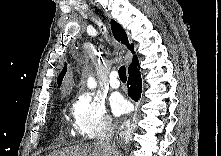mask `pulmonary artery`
I'll return each mask as SVG.
<instances>
[{
  "label": "pulmonary artery",
  "instance_id": "e3ab8cb5",
  "mask_svg": "<svg viewBox=\"0 0 221 156\" xmlns=\"http://www.w3.org/2000/svg\"><path fill=\"white\" fill-rule=\"evenodd\" d=\"M110 86L114 89L119 88L120 86V81L118 79V73L116 71H112L110 73Z\"/></svg>",
  "mask_w": 221,
  "mask_h": 156
}]
</instances>
